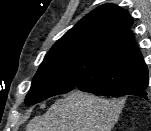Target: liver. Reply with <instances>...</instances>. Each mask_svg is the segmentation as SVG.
Wrapping results in <instances>:
<instances>
[{"label": "liver", "mask_w": 151, "mask_h": 131, "mask_svg": "<svg viewBox=\"0 0 151 131\" xmlns=\"http://www.w3.org/2000/svg\"><path fill=\"white\" fill-rule=\"evenodd\" d=\"M122 107L118 100L75 91L34 117L26 131H112Z\"/></svg>", "instance_id": "6515ba94"}]
</instances>
